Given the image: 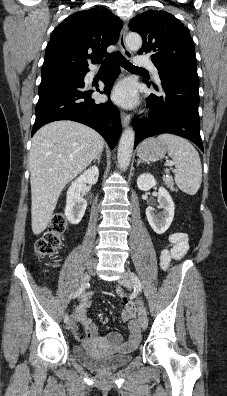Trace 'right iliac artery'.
Segmentation results:
<instances>
[{
  "label": "right iliac artery",
  "mask_w": 227,
  "mask_h": 396,
  "mask_svg": "<svg viewBox=\"0 0 227 396\" xmlns=\"http://www.w3.org/2000/svg\"><path fill=\"white\" fill-rule=\"evenodd\" d=\"M87 286H89V284L83 285L81 286L74 294L73 299H75L76 297L80 296L83 291L87 288ZM69 321V315L65 314L64 316V322L67 323Z\"/></svg>",
  "instance_id": "82829eb1"
}]
</instances>
